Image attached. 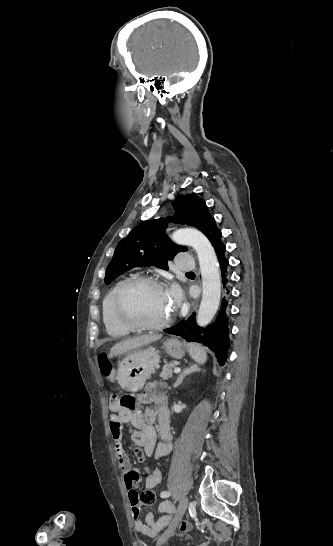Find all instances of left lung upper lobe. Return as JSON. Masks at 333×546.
<instances>
[{
    "mask_svg": "<svg viewBox=\"0 0 333 546\" xmlns=\"http://www.w3.org/2000/svg\"><path fill=\"white\" fill-rule=\"evenodd\" d=\"M172 205L175 210L173 219L159 218L145 221L134 227L126 238L121 240L114 256L106 269L104 281L109 284L119 275L134 267L155 266L168 270L169 260L186 247L172 242L165 234L167 223L172 221L182 225L193 226L207 237L212 223L205 201L195 194L177 197Z\"/></svg>",
    "mask_w": 333,
    "mask_h": 546,
    "instance_id": "obj_1",
    "label": "left lung upper lobe"
}]
</instances>
